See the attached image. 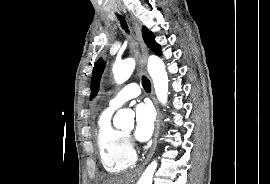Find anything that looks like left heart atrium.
I'll return each mask as SVG.
<instances>
[{"instance_id": "obj_1", "label": "left heart atrium", "mask_w": 270, "mask_h": 184, "mask_svg": "<svg viewBox=\"0 0 270 184\" xmlns=\"http://www.w3.org/2000/svg\"><path fill=\"white\" fill-rule=\"evenodd\" d=\"M135 116V137L142 142L149 140L153 134L155 121L152 107L147 103L139 104L135 109Z\"/></svg>"}]
</instances>
